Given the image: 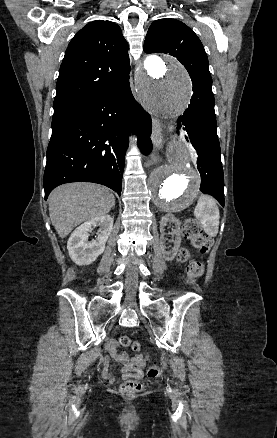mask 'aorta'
Listing matches in <instances>:
<instances>
[{
	"instance_id": "aorta-1",
	"label": "aorta",
	"mask_w": 277,
	"mask_h": 438,
	"mask_svg": "<svg viewBox=\"0 0 277 438\" xmlns=\"http://www.w3.org/2000/svg\"><path fill=\"white\" fill-rule=\"evenodd\" d=\"M136 91L141 105L153 116L172 126L188 106L190 80L184 67L172 57L151 55L136 72ZM200 177L193 166L189 148L170 143L166 163L153 170L148 179L151 200L167 212L187 208L197 195Z\"/></svg>"
}]
</instances>
